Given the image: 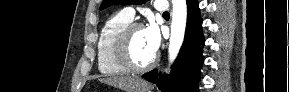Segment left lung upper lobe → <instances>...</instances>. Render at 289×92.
Listing matches in <instances>:
<instances>
[{
	"label": "left lung upper lobe",
	"instance_id": "1",
	"mask_svg": "<svg viewBox=\"0 0 289 92\" xmlns=\"http://www.w3.org/2000/svg\"><path fill=\"white\" fill-rule=\"evenodd\" d=\"M147 0H103L100 9H105L111 5L142 4Z\"/></svg>",
	"mask_w": 289,
	"mask_h": 92
}]
</instances>
